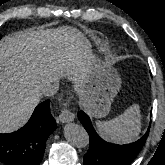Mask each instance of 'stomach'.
Masks as SVG:
<instances>
[{
    "label": "stomach",
    "instance_id": "stomach-1",
    "mask_svg": "<svg viewBox=\"0 0 165 165\" xmlns=\"http://www.w3.org/2000/svg\"><path fill=\"white\" fill-rule=\"evenodd\" d=\"M120 88L121 78L118 72L111 66L102 65L96 59L81 87L82 105L91 116L105 117Z\"/></svg>",
    "mask_w": 165,
    "mask_h": 165
}]
</instances>
